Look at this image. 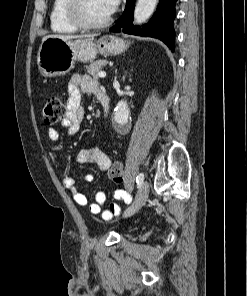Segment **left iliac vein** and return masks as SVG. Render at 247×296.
<instances>
[{"label": "left iliac vein", "mask_w": 247, "mask_h": 296, "mask_svg": "<svg viewBox=\"0 0 247 296\" xmlns=\"http://www.w3.org/2000/svg\"><path fill=\"white\" fill-rule=\"evenodd\" d=\"M149 189V183L144 181L137 192L135 202L124 212V218L134 215L143 206L146 199L148 198Z\"/></svg>", "instance_id": "obj_1"}]
</instances>
